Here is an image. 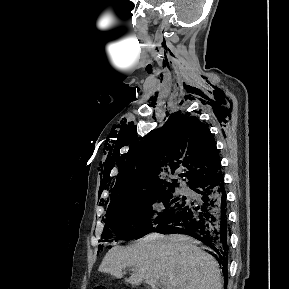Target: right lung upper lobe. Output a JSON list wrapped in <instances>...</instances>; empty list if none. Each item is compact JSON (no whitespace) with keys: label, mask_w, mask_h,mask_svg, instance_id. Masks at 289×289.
Returning <instances> with one entry per match:
<instances>
[{"label":"right lung upper lobe","mask_w":289,"mask_h":289,"mask_svg":"<svg viewBox=\"0 0 289 289\" xmlns=\"http://www.w3.org/2000/svg\"><path fill=\"white\" fill-rule=\"evenodd\" d=\"M145 138L137 141L127 153L109 206L135 195L174 188L177 180L169 182V175L178 167L187 168V173L180 176L188 179L190 187L201 178L220 171L214 138L207 126L194 116L178 112Z\"/></svg>","instance_id":"1"}]
</instances>
